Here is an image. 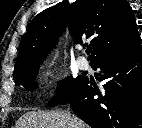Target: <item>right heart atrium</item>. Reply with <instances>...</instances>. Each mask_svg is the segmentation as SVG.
Returning a JSON list of instances; mask_svg holds the SVG:
<instances>
[{"label":"right heart atrium","instance_id":"d8ad5b80","mask_svg":"<svg viewBox=\"0 0 142 128\" xmlns=\"http://www.w3.org/2000/svg\"><path fill=\"white\" fill-rule=\"evenodd\" d=\"M57 78V71L53 62H49L44 67L41 81L45 86H51Z\"/></svg>","mask_w":142,"mask_h":128}]
</instances>
